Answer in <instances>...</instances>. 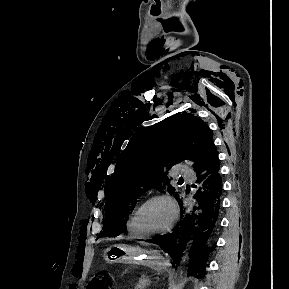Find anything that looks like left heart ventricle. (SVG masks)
Returning a JSON list of instances; mask_svg holds the SVG:
<instances>
[{
	"instance_id": "left-heart-ventricle-1",
	"label": "left heart ventricle",
	"mask_w": 289,
	"mask_h": 289,
	"mask_svg": "<svg viewBox=\"0 0 289 289\" xmlns=\"http://www.w3.org/2000/svg\"><path fill=\"white\" fill-rule=\"evenodd\" d=\"M173 212L165 200H154L147 204L139 215V226L146 232L159 231L166 228L172 220Z\"/></svg>"
}]
</instances>
